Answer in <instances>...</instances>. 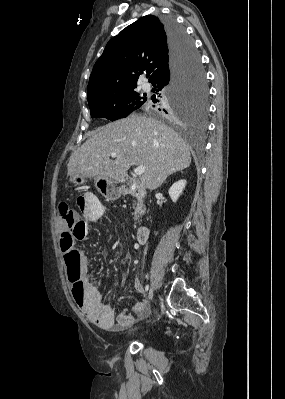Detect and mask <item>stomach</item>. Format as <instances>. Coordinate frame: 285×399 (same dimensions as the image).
<instances>
[{"mask_svg":"<svg viewBox=\"0 0 285 399\" xmlns=\"http://www.w3.org/2000/svg\"><path fill=\"white\" fill-rule=\"evenodd\" d=\"M69 180L76 186H81L85 182V177L74 174ZM124 179L119 177L95 179L96 189L108 200H117L124 193Z\"/></svg>","mask_w":285,"mask_h":399,"instance_id":"stomach-1","label":"stomach"}]
</instances>
